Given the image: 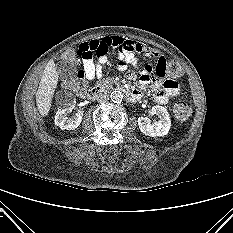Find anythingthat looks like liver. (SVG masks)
Here are the masks:
<instances>
[{"label":"liver","mask_w":233,"mask_h":233,"mask_svg":"<svg viewBox=\"0 0 233 233\" xmlns=\"http://www.w3.org/2000/svg\"><path fill=\"white\" fill-rule=\"evenodd\" d=\"M58 83V72L53 60L49 61L45 67L43 76L41 78L37 93L36 103L39 113L42 116H47L50 108L52 98Z\"/></svg>","instance_id":"6515ba94"}]
</instances>
